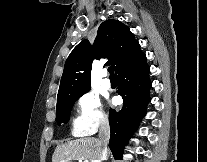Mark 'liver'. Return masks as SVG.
I'll list each match as a JSON object with an SVG mask.
<instances>
[{"instance_id": "1", "label": "liver", "mask_w": 207, "mask_h": 162, "mask_svg": "<svg viewBox=\"0 0 207 162\" xmlns=\"http://www.w3.org/2000/svg\"><path fill=\"white\" fill-rule=\"evenodd\" d=\"M102 149L103 145L97 138L86 137L75 139L57 145L52 156V162H70L73 160L98 161Z\"/></svg>"}]
</instances>
